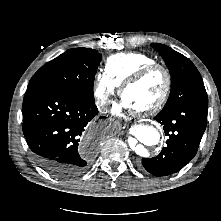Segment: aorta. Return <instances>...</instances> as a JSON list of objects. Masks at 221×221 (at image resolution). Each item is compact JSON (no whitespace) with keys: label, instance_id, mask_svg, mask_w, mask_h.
Segmentation results:
<instances>
[{"label":"aorta","instance_id":"aorta-1","mask_svg":"<svg viewBox=\"0 0 221 221\" xmlns=\"http://www.w3.org/2000/svg\"><path fill=\"white\" fill-rule=\"evenodd\" d=\"M133 133L137 140L144 145H156L160 140L159 131L153 126L138 125ZM132 148L140 156H145L147 154V150L142 144L134 143L132 144Z\"/></svg>","mask_w":221,"mask_h":221}]
</instances>
